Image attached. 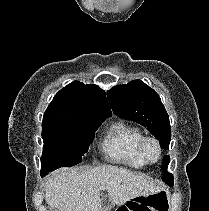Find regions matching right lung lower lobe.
Instances as JSON below:
<instances>
[{
  "mask_svg": "<svg viewBox=\"0 0 209 211\" xmlns=\"http://www.w3.org/2000/svg\"><path fill=\"white\" fill-rule=\"evenodd\" d=\"M44 175H46L45 173H43V172H41V176H44Z\"/></svg>",
  "mask_w": 209,
  "mask_h": 211,
  "instance_id": "right-lung-lower-lobe-1",
  "label": "right lung lower lobe"
}]
</instances>
